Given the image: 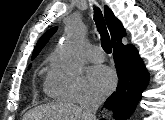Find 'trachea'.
<instances>
[{
  "label": "trachea",
  "mask_w": 165,
  "mask_h": 120,
  "mask_svg": "<svg viewBox=\"0 0 165 120\" xmlns=\"http://www.w3.org/2000/svg\"><path fill=\"white\" fill-rule=\"evenodd\" d=\"M94 21L101 36V46L106 53H111L110 36L106 24L99 8L94 7Z\"/></svg>",
  "instance_id": "obj_1"
}]
</instances>
